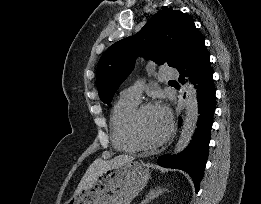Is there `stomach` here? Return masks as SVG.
I'll return each mask as SVG.
<instances>
[{
    "label": "stomach",
    "instance_id": "stomach-1",
    "mask_svg": "<svg viewBox=\"0 0 261 204\" xmlns=\"http://www.w3.org/2000/svg\"><path fill=\"white\" fill-rule=\"evenodd\" d=\"M149 171L137 161L104 171L89 188L66 204H130L146 186Z\"/></svg>",
    "mask_w": 261,
    "mask_h": 204
}]
</instances>
